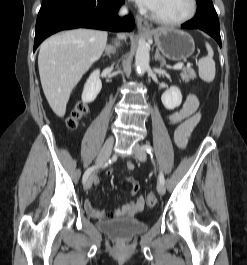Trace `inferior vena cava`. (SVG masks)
Instances as JSON below:
<instances>
[{
    "mask_svg": "<svg viewBox=\"0 0 247 265\" xmlns=\"http://www.w3.org/2000/svg\"><path fill=\"white\" fill-rule=\"evenodd\" d=\"M127 13V9L125 8V7H123L122 9H121V11H120V14L121 15H124V14H126Z\"/></svg>",
    "mask_w": 247,
    "mask_h": 265,
    "instance_id": "1",
    "label": "inferior vena cava"
}]
</instances>
